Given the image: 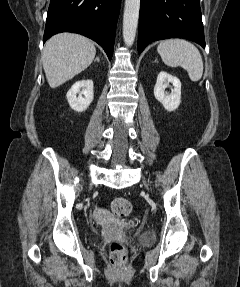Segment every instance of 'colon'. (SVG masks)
<instances>
[{
  "label": "colon",
  "instance_id": "obj_1",
  "mask_svg": "<svg viewBox=\"0 0 240 287\" xmlns=\"http://www.w3.org/2000/svg\"><path fill=\"white\" fill-rule=\"evenodd\" d=\"M111 210L116 217H126L132 211V204L126 198L117 197L111 203ZM109 258L113 266H122L127 258V252L123 244L112 242L109 247Z\"/></svg>",
  "mask_w": 240,
  "mask_h": 287
}]
</instances>
